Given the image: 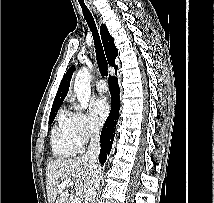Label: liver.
Here are the masks:
<instances>
[{
    "instance_id": "liver-1",
    "label": "liver",
    "mask_w": 214,
    "mask_h": 203,
    "mask_svg": "<svg viewBox=\"0 0 214 203\" xmlns=\"http://www.w3.org/2000/svg\"><path fill=\"white\" fill-rule=\"evenodd\" d=\"M91 171L89 161L83 158L56 160L48 163L46 190L49 203L67 202L69 193L73 190L69 191L64 188L59 192L58 187L64 181H74L76 195L84 197L91 185Z\"/></svg>"
}]
</instances>
